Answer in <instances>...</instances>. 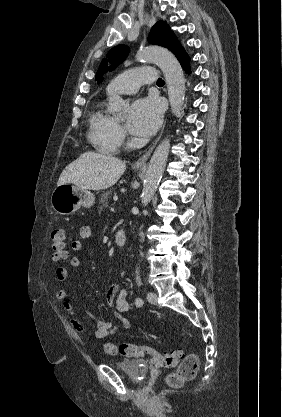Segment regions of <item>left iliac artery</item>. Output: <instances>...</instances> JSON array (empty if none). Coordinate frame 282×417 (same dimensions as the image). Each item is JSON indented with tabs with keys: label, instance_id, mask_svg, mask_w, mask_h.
<instances>
[{
	"label": "left iliac artery",
	"instance_id": "1",
	"mask_svg": "<svg viewBox=\"0 0 282 417\" xmlns=\"http://www.w3.org/2000/svg\"><path fill=\"white\" fill-rule=\"evenodd\" d=\"M137 283L139 286H141V279H137ZM135 304L136 306H142L143 305V300L141 298H136L135 300Z\"/></svg>",
	"mask_w": 282,
	"mask_h": 417
}]
</instances>
